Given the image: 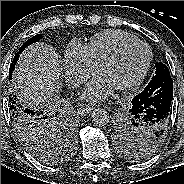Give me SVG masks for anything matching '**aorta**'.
Instances as JSON below:
<instances>
[{
	"instance_id": "aorta-1",
	"label": "aorta",
	"mask_w": 184,
	"mask_h": 184,
	"mask_svg": "<svg viewBox=\"0 0 184 184\" xmlns=\"http://www.w3.org/2000/svg\"><path fill=\"white\" fill-rule=\"evenodd\" d=\"M92 123L95 126L102 127L107 125L110 120L109 113L103 108H97L93 110L91 114Z\"/></svg>"
}]
</instances>
